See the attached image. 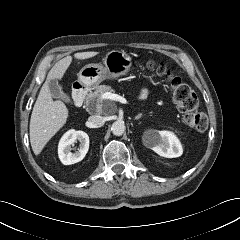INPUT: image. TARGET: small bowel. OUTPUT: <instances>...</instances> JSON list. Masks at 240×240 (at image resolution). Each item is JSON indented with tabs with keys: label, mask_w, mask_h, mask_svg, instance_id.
I'll return each instance as SVG.
<instances>
[{
	"label": "small bowel",
	"mask_w": 240,
	"mask_h": 240,
	"mask_svg": "<svg viewBox=\"0 0 240 240\" xmlns=\"http://www.w3.org/2000/svg\"><path fill=\"white\" fill-rule=\"evenodd\" d=\"M147 95H148V90L143 89V90L140 92L139 97H140V99H145V98L147 97Z\"/></svg>",
	"instance_id": "c3829d8e"
}]
</instances>
